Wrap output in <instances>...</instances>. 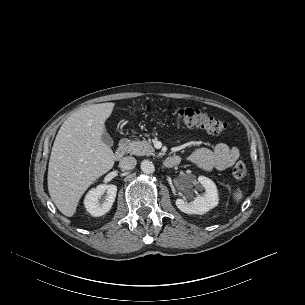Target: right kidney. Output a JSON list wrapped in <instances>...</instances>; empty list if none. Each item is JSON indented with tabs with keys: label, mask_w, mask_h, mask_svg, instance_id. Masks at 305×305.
<instances>
[{
	"label": "right kidney",
	"mask_w": 305,
	"mask_h": 305,
	"mask_svg": "<svg viewBox=\"0 0 305 305\" xmlns=\"http://www.w3.org/2000/svg\"><path fill=\"white\" fill-rule=\"evenodd\" d=\"M104 193H106L105 200L100 202L99 199ZM116 194V185H99L87 193L84 199L85 208L94 217L102 216L111 209Z\"/></svg>",
	"instance_id": "1"
}]
</instances>
